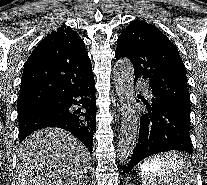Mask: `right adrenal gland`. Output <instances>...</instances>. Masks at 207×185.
<instances>
[{
    "label": "right adrenal gland",
    "mask_w": 207,
    "mask_h": 185,
    "mask_svg": "<svg viewBox=\"0 0 207 185\" xmlns=\"http://www.w3.org/2000/svg\"><path fill=\"white\" fill-rule=\"evenodd\" d=\"M89 181L88 179H83V185H88Z\"/></svg>",
    "instance_id": "2a0ac1e0"
}]
</instances>
